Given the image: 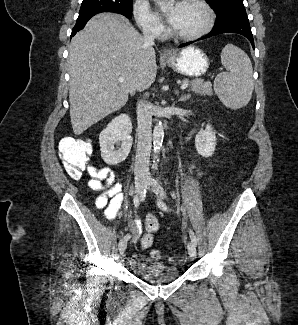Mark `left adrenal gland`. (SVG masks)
Here are the masks:
<instances>
[{"label": "left adrenal gland", "mask_w": 298, "mask_h": 325, "mask_svg": "<svg viewBox=\"0 0 298 325\" xmlns=\"http://www.w3.org/2000/svg\"><path fill=\"white\" fill-rule=\"evenodd\" d=\"M175 94H179V90H176ZM188 98H190V94H181L178 100H188Z\"/></svg>", "instance_id": "a2214340"}]
</instances>
